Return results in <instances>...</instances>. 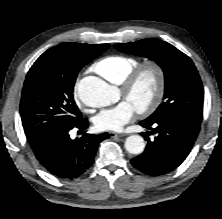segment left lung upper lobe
<instances>
[{
    "mask_svg": "<svg viewBox=\"0 0 222 219\" xmlns=\"http://www.w3.org/2000/svg\"><path fill=\"white\" fill-rule=\"evenodd\" d=\"M114 47L125 53L147 57L164 71L165 100L146 121L178 115L201 123L203 86L194 63L187 55L156 38L115 44Z\"/></svg>",
    "mask_w": 222,
    "mask_h": 219,
    "instance_id": "1",
    "label": "left lung upper lobe"
}]
</instances>
